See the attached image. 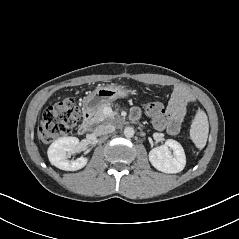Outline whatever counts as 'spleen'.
I'll use <instances>...</instances> for the list:
<instances>
[{
    "label": "spleen",
    "mask_w": 239,
    "mask_h": 239,
    "mask_svg": "<svg viewBox=\"0 0 239 239\" xmlns=\"http://www.w3.org/2000/svg\"><path fill=\"white\" fill-rule=\"evenodd\" d=\"M209 133V123L206 113L198 109L190 128V137L198 149L206 145Z\"/></svg>",
    "instance_id": "1"
}]
</instances>
